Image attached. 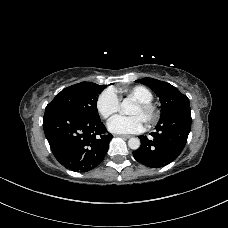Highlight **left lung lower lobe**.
I'll use <instances>...</instances> for the list:
<instances>
[{"mask_svg": "<svg viewBox=\"0 0 228 228\" xmlns=\"http://www.w3.org/2000/svg\"><path fill=\"white\" fill-rule=\"evenodd\" d=\"M181 123H174L175 118L169 116L156 125L155 132L147 136H139L141 146L133 152V156L139 163L151 167L160 168L174 161L183 151L191 129V110H180Z\"/></svg>", "mask_w": 228, "mask_h": 228, "instance_id": "0a47b994", "label": "left lung lower lobe"}]
</instances>
